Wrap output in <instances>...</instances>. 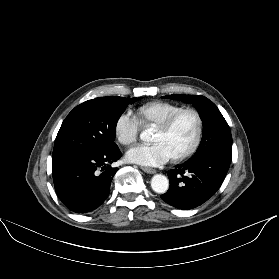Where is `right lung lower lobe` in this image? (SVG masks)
<instances>
[{
	"mask_svg": "<svg viewBox=\"0 0 279 279\" xmlns=\"http://www.w3.org/2000/svg\"><path fill=\"white\" fill-rule=\"evenodd\" d=\"M121 155L116 145L101 154L53 156L52 174L59 199L76 213H87L99 207L108 197L117 171L111 164Z\"/></svg>",
	"mask_w": 279,
	"mask_h": 279,
	"instance_id": "obj_1",
	"label": "right lung lower lobe"
}]
</instances>
